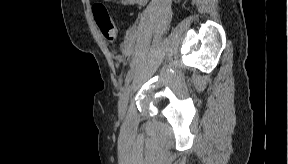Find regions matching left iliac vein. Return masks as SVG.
<instances>
[{
    "mask_svg": "<svg viewBox=\"0 0 288 164\" xmlns=\"http://www.w3.org/2000/svg\"><path fill=\"white\" fill-rule=\"evenodd\" d=\"M131 93V86H127L126 89L123 91L119 103H118V114L119 117H123L126 114L129 99Z\"/></svg>",
    "mask_w": 288,
    "mask_h": 164,
    "instance_id": "1",
    "label": "left iliac vein"
}]
</instances>
